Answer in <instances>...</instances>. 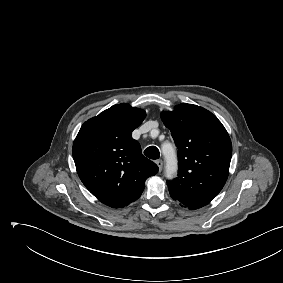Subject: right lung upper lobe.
I'll return each instance as SVG.
<instances>
[{
  "instance_id": "obj_1",
  "label": "right lung upper lobe",
  "mask_w": 283,
  "mask_h": 283,
  "mask_svg": "<svg viewBox=\"0 0 283 283\" xmlns=\"http://www.w3.org/2000/svg\"><path fill=\"white\" fill-rule=\"evenodd\" d=\"M145 111L117 104L86 121L74 140L73 158L85 187L103 204L122 208L136 201L158 166L142 155L132 131Z\"/></svg>"
}]
</instances>
